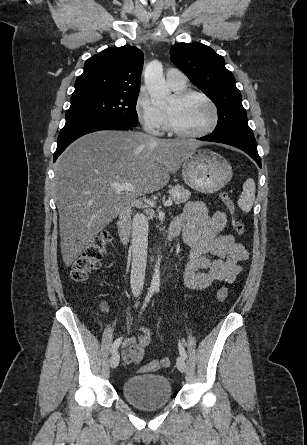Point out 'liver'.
<instances>
[{"label": "liver", "mask_w": 307, "mask_h": 445, "mask_svg": "<svg viewBox=\"0 0 307 445\" xmlns=\"http://www.w3.org/2000/svg\"><path fill=\"white\" fill-rule=\"evenodd\" d=\"M200 144L132 130H97L72 142L55 168L64 265L70 267L136 194L163 188ZM111 182H132L136 192L116 190Z\"/></svg>", "instance_id": "1"}]
</instances>
